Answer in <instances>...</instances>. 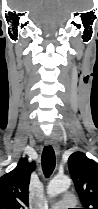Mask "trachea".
<instances>
[{"mask_svg":"<svg viewBox=\"0 0 98 209\" xmlns=\"http://www.w3.org/2000/svg\"><path fill=\"white\" fill-rule=\"evenodd\" d=\"M42 169L46 177H49L56 165L55 153L52 146H46L43 149L42 158Z\"/></svg>","mask_w":98,"mask_h":209,"instance_id":"1","label":"trachea"}]
</instances>
